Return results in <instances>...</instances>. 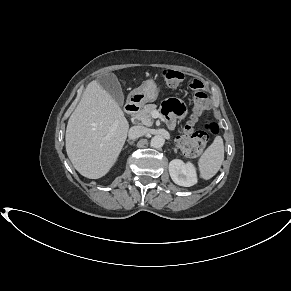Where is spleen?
I'll list each match as a JSON object with an SVG mask.
<instances>
[{
    "label": "spleen",
    "mask_w": 291,
    "mask_h": 291,
    "mask_svg": "<svg viewBox=\"0 0 291 291\" xmlns=\"http://www.w3.org/2000/svg\"><path fill=\"white\" fill-rule=\"evenodd\" d=\"M224 161V144L221 136H216L213 143L198 160L200 176L208 180L219 171Z\"/></svg>",
    "instance_id": "spleen-1"
}]
</instances>
